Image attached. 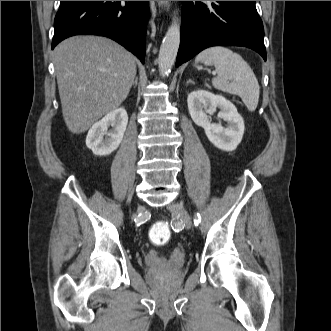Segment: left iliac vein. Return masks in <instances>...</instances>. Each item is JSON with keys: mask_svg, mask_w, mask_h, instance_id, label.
<instances>
[{"mask_svg": "<svg viewBox=\"0 0 331 331\" xmlns=\"http://www.w3.org/2000/svg\"><path fill=\"white\" fill-rule=\"evenodd\" d=\"M167 208L172 213L178 215V217L183 221V223L187 229L191 228V226H192L191 217L182 204L172 203V204H169L167 206Z\"/></svg>", "mask_w": 331, "mask_h": 331, "instance_id": "left-iliac-vein-1", "label": "left iliac vein"}]
</instances>
